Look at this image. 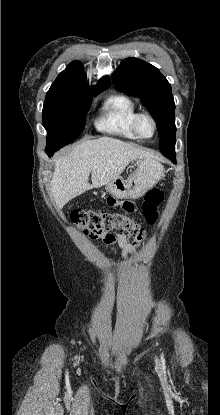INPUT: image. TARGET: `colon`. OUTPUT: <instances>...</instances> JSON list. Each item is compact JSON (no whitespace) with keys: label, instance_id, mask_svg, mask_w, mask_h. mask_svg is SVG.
Listing matches in <instances>:
<instances>
[{"label":"colon","instance_id":"colon-1","mask_svg":"<svg viewBox=\"0 0 220 415\" xmlns=\"http://www.w3.org/2000/svg\"><path fill=\"white\" fill-rule=\"evenodd\" d=\"M161 201L162 194L157 189H151L145 195L142 214L148 224L152 225L156 222ZM119 206L123 210H130L132 203L125 200L120 202ZM70 219L75 226L84 227L100 236L111 231H119L135 246L143 244L146 239L145 229L132 218L118 211L77 209L72 211Z\"/></svg>","mask_w":220,"mask_h":415}]
</instances>
